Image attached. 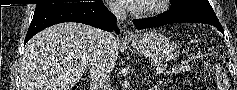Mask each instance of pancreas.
<instances>
[{"instance_id":"1","label":"pancreas","mask_w":237,"mask_h":90,"mask_svg":"<svg viewBox=\"0 0 237 90\" xmlns=\"http://www.w3.org/2000/svg\"><path fill=\"white\" fill-rule=\"evenodd\" d=\"M192 68L191 64H179L173 68V74H179V72H188Z\"/></svg>"}]
</instances>
